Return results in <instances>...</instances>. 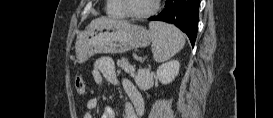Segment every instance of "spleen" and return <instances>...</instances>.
I'll return each mask as SVG.
<instances>
[{
    "instance_id": "1",
    "label": "spleen",
    "mask_w": 273,
    "mask_h": 118,
    "mask_svg": "<svg viewBox=\"0 0 273 118\" xmlns=\"http://www.w3.org/2000/svg\"><path fill=\"white\" fill-rule=\"evenodd\" d=\"M149 29L156 62L169 60L184 47V35L176 27L162 22H150Z\"/></svg>"
}]
</instances>
